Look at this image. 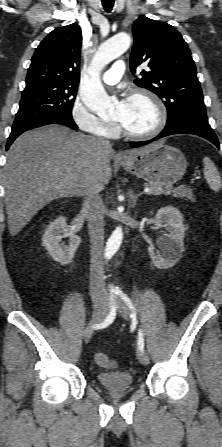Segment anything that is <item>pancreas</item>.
Returning <instances> with one entry per match:
<instances>
[{
  "label": "pancreas",
  "mask_w": 222,
  "mask_h": 447,
  "mask_svg": "<svg viewBox=\"0 0 222 447\" xmlns=\"http://www.w3.org/2000/svg\"><path fill=\"white\" fill-rule=\"evenodd\" d=\"M146 186L151 189L149 194H152V195L161 194L158 191V189L161 188V186L153 184V183H148V184H146ZM165 195H172L175 198H182V199L186 198L192 202L195 201V196L193 195L192 189L185 185L179 186L177 188H167L165 191Z\"/></svg>",
  "instance_id": "obj_1"
}]
</instances>
